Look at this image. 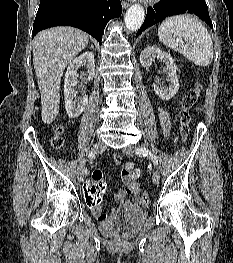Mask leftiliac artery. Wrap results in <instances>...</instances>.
I'll list each match as a JSON object with an SVG mask.
<instances>
[{"label":"left iliac artery","mask_w":233,"mask_h":263,"mask_svg":"<svg viewBox=\"0 0 233 263\" xmlns=\"http://www.w3.org/2000/svg\"><path fill=\"white\" fill-rule=\"evenodd\" d=\"M136 153L139 155H143V156H149L151 158V160L153 161L154 165L157 166L158 165V159L157 157L147 148L145 147H140L136 150Z\"/></svg>","instance_id":"44dca946"}]
</instances>
